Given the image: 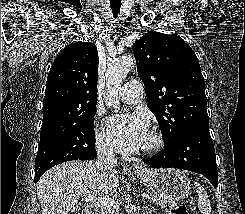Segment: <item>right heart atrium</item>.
Returning <instances> with one entry per match:
<instances>
[{
  "instance_id": "obj_1",
  "label": "right heart atrium",
  "mask_w": 245,
  "mask_h": 214,
  "mask_svg": "<svg viewBox=\"0 0 245 214\" xmlns=\"http://www.w3.org/2000/svg\"><path fill=\"white\" fill-rule=\"evenodd\" d=\"M95 142L98 151L103 154V155H112L113 154V149L111 144L108 141L106 132L98 128L95 130Z\"/></svg>"
}]
</instances>
